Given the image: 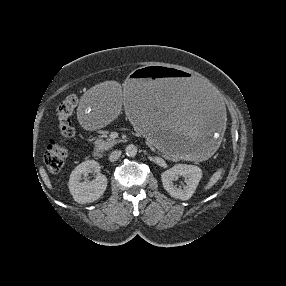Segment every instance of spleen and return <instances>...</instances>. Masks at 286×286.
<instances>
[{"label":"spleen","mask_w":286,"mask_h":286,"mask_svg":"<svg viewBox=\"0 0 286 286\" xmlns=\"http://www.w3.org/2000/svg\"><path fill=\"white\" fill-rule=\"evenodd\" d=\"M223 170H217L209 179L208 183L204 187V190L211 189L221 178H222Z\"/></svg>","instance_id":"1"}]
</instances>
